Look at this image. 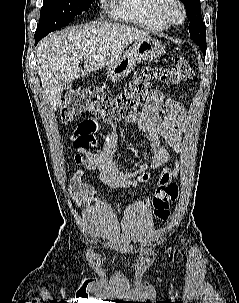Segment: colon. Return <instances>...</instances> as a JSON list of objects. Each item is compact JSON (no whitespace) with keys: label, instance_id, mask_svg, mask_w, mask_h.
I'll return each instance as SVG.
<instances>
[{"label":"colon","instance_id":"obj_1","mask_svg":"<svg viewBox=\"0 0 239 303\" xmlns=\"http://www.w3.org/2000/svg\"><path fill=\"white\" fill-rule=\"evenodd\" d=\"M193 69L186 58L178 57L166 69H145L132 79L119 94L111 97L99 88H79L68 92L60 104V117L69 122L84 113H91L105 122H115L131 118L144 103L150 84L161 80L167 84H181L193 77ZM178 188L174 184L158 188L153 198L154 215L159 220H167L170 203L178 198Z\"/></svg>","mask_w":239,"mask_h":303}]
</instances>
